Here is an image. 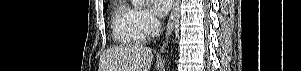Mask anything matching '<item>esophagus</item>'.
Returning <instances> with one entry per match:
<instances>
[{
	"label": "esophagus",
	"mask_w": 301,
	"mask_h": 71,
	"mask_svg": "<svg viewBox=\"0 0 301 71\" xmlns=\"http://www.w3.org/2000/svg\"><path fill=\"white\" fill-rule=\"evenodd\" d=\"M178 1L179 0H173L172 11H171L168 23H167L165 42H164L163 46L161 47L162 52L165 50L168 39H169L170 35L172 34V31H173V28H174L176 7H177V4H178Z\"/></svg>",
	"instance_id": "1"
}]
</instances>
